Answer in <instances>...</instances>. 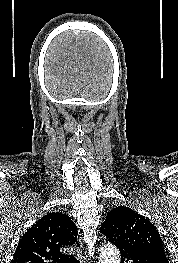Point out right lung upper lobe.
<instances>
[{
  "instance_id": "obj_1",
  "label": "right lung upper lobe",
  "mask_w": 178,
  "mask_h": 263,
  "mask_svg": "<svg viewBox=\"0 0 178 263\" xmlns=\"http://www.w3.org/2000/svg\"><path fill=\"white\" fill-rule=\"evenodd\" d=\"M77 227L68 215L53 212L39 219L20 239L13 263H75L63 249L76 241Z\"/></svg>"
}]
</instances>
